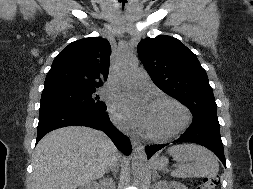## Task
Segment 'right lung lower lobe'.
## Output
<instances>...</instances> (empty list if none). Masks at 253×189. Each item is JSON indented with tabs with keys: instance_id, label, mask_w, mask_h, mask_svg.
<instances>
[{
	"instance_id": "1",
	"label": "right lung lower lobe",
	"mask_w": 253,
	"mask_h": 189,
	"mask_svg": "<svg viewBox=\"0 0 253 189\" xmlns=\"http://www.w3.org/2000/svg\"><path fill=\"white\" fill-rule=\"evenodd\" d=\"M73 125L98 128L107 134L125 155L132 151L129 139L113 126L105 111L68 105L40 106L36 143L51 130Z\"/></svg>"
}]
</instances>
